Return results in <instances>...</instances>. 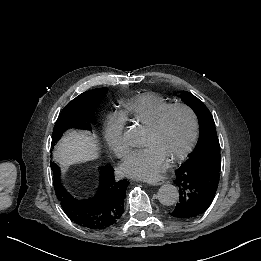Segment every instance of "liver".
Segmentation results:
<instances>
[{
	"instance_id": "liver-1",
	"label": "liver",
	"mask_w": 261,
	"mask_h": 261,
	"mask_svg": "<svg viewBox=\"0 0 261 261\" xmlns=\"http://www.w3.org/2000/svg\"><path fill=\"white\" fill-rule=\"evenodd\" d=\"M96 155L95 144L92 138L71 132L59 145L56 156L60 160H67L70 157H83L93 159Z\"/></svg>"
}]
</instances>
